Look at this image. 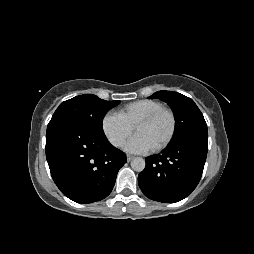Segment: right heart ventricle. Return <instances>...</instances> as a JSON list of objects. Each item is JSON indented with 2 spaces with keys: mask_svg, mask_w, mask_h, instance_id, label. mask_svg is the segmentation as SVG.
Here are the masks:
<instances>
[{
  "mask_svg": "<svg viewBox=\"0 0 254 254\" xmlns=\"http://www.w3.org/2000/svg\"><path fill=\"white\" fill-rule=\"evenodd\" d=\"M162 107L163 104L159 101L142 99L126 104L118 110L117 114L134 127L140 119Z\"/></svg>",
  "mask_w": 254,
  "mask_h": 254,
  "instance_id": "1",
  "label": "right heart ventricle"
}]
</instances>
